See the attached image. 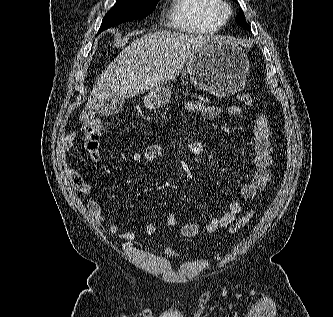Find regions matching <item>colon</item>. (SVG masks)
<instances>
[{
	"instance_id": "colon-1",
	"label": "colon",
	"mask_w": 333,
	"mask_h": 317,
	"mask_svg": "<svg viewBox=\"0 0 333 317\" xmlns=\"http://www.w3.org/2000/svg\"><path fill=\"white\" fill-rule=\"evenodd\" d=\"M239 100L246 106L253 104V98L249 93H242L239 95ZM85 147L89 151H94L99 146L100 138V123L94 121L85 126ZM253 211H247L238 221L229 228V233L233 234L243 228L252 218Z\"/></svg>"
}]
</instances>
